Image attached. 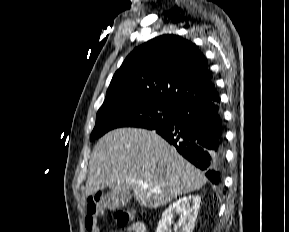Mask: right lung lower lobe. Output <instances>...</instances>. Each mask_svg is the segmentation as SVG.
Listing matches in <instances>:
<instances>
[{
	"mask_svg": "<svg viewBox=\"0 0 289 232\" xmlns=\"http://www.w3.org/2000/svg\"><path fill=\"white\" fill-rule=\"evenodd\" d=\"M219 97L177 108L175 118L154 130L207 178L218 184L224 164V134Z\"/></svg>",
	"mask_w": 289,
	"mask_h": 232,
	"instance_id": "obj_1",
	"label": "right lung lower lobe"
}]
</instances>
